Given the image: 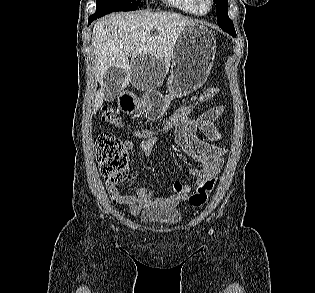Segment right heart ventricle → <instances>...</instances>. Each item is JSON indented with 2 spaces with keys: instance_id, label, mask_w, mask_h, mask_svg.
<instances>
[{
  "instance_id": "e07e8e85",
  "label": "right heart ventricle",
  "mask_w": 315,
  "mask_h": 293,
  "mask_svg": "<svg viewBox=\"0 0 315 293\" xmlns=\"http://www.w3.org/2000/svg\"><path fill=\"white\" fill-rule=\"evenodd\" d=\"M164 3L178 11L181 14L189 16H198L200 15L195 8L194 0H163Z\"/></svg>"
}]
</instances>
